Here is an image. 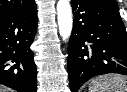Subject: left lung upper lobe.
I'll return each mask as SVG.
<instances>
[{
  "instance_id": "obj_1",
  "label": "left lung upper lobe",
  "mask_w": 127,
  "mask_h": 92,
  "mask_svg": "<svg viewBox=\"0 0 127 92\" xmlns=\"http://www.w3.org/2000/svg\"><path fill=\"white\" fill-rule=\"evenodd\" d=\"M97 4L106 5L114 8H118L116 0H88Z\"/></svg>"
}]
</instances>
